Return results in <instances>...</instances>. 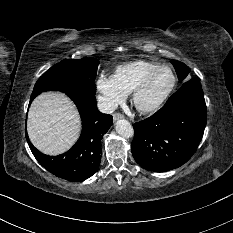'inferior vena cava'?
<instances>
[{"instance_id":"obj_1","label":"inferior vena cava","mask_w":233,"mask_h":233,"mask_svg":"<svg viewBox=\"0 0 233 233\" xmlns=\"http://www.w3.org/2000/svg\"><path fill=\"white\" fill-rule=\"evenodd\" d=\"M97 106L100 112L106 114L114 112L118 107L117 103L102 96L98 98Z\"/></svg>"}]
</instances>
